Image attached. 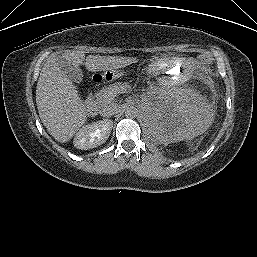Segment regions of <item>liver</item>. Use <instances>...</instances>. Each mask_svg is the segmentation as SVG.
Returning a JSON list of instances; mask_svg holds the SVG:
<instances>
[{
    "mask_svg": "<svg viewBox=\"0 0 257 257\" xmlns=\"http://www.w3.org/2000/svg\"><path fill=\"white\" fill-rule=\"evenodd\" d=\"M61 55L76 67L85 64L91 72L115 70L137 61L131 57H85L83 52L73 50H66ZM36 104L43 125L58 142L70 141L86 122L85 105L76 86L61 70L56 54L48 56L41 70L36 87Z\"/></svg>",
    "mask_w": 257,
    "mask_h": 257,
    "instance_id": "1",
    "label": "liver"
}]
</instances>
